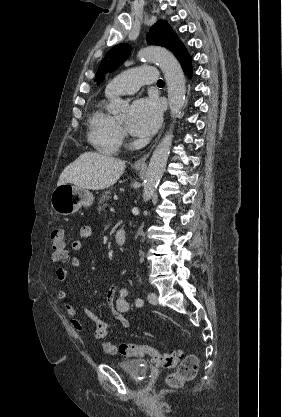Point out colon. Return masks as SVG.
Masks as SVG:
<instances>
[{
  "label": "colon",
  "instance_id": "colon-1",
  "mask_svg": "<svg viewBox=\"0 0 282 417\" xmlns=\"http://www.w3.org/2000/svg\"><path fill=\"white\" fill-rule=\"evenodd\" d=\"M52 257L54 261L67 264L68 257L65 251L66 240L62 228H55L51 234ZM107 356H127L134 358H149L153 364L161 369L175 368V372L166 377L169 387H180L186 380L194 378L199 370V358L195 354H189L184 359L180 369L176 368L178 360L182 357L181 350L170 353H162L157 348L144 343H126L124 347H107Z\"/></svg>",
  "mask_w": 282,
  "mask_h": 417
}]
</instances>
